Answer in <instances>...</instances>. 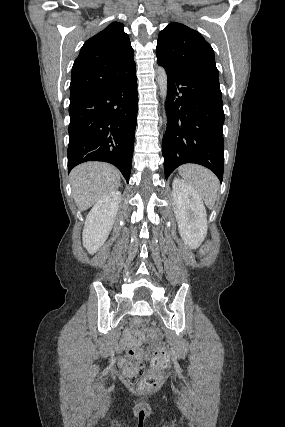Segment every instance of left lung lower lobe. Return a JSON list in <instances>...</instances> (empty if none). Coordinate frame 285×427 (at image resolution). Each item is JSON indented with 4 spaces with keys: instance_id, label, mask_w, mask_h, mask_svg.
<instances>
[{
    "instance_id": "obj_1",
    "label": "left lung lower lobe",
    "mask_w": 285,
    "mask_h": 427,
    "mask_svg": "<svg viewBox=\"0 0 285 427\" xmlns=\"http://www.w3.org/2000/svg\"><path fill=\"white\" fill-rule=\"evenodd\" d=\"M167 130L162 143L166 178L180 165L196 163L223 178L224 112L219 80L166 68Z\"/></svg>"
}]
</instances>
